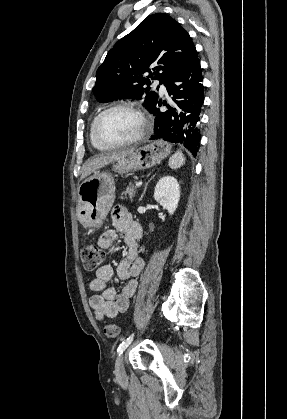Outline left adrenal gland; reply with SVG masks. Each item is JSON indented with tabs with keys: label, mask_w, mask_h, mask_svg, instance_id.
Listing matches in <instances>:
<instances>
[{
	"label": "left adrenal gland",
	"mask_w": 287,
	"mask_h": 419,
	"mask_svg": "<svg viewBox=\"0 0 287 419\" xmlns=\"http://www.w3.org/2000/svg\"><path fill=\"white\" fill-rule=\"evenodd\" d=\"M154 176H155V175H154ZM154 176H153V177H154ZM153 177H152V178H153ZM152 178H151V179H152ZM151 179H150V180H151ZM150 180H149V181L145 184V187H144L143 193H142V195H141V197H140L139 201H141V200H142V198H143V196H144V194H145V192H146V189H147V186H148V183L150 182Z\"/></svg>",
	"instance_id": "left-adrenal-gland-1"
}]
</instances>
